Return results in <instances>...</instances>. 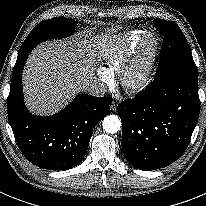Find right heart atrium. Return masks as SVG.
Returning a JSON list of instances; mask_svg holds the SVG:
<instances>
[{"label": "right heart atrium", "instance_id": "1", "mask_svg": "<svg viewBox=\"0 0 206 206\" xmlns=\"http://www.w3.org/2000/svg\"><path fill=\"white\" fill-rule=\"evenodd\" d=\"M99 77H100V80L105 84H111V82H112L111 75H109L105 72L100 71L99 72Z\"/></svg>", "mask_w": 206, "mask_h": 206}]
</instances>
